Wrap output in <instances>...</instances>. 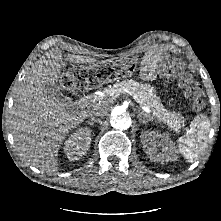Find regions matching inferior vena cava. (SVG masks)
Returning a JSON list of instances; mask_svg holds the SVG:
<instances>
[{
  "mask_svg": "<svg viewBox=\"0 0 221 221\" xmlns=\"http://www.w3.org/2000/svg\"><path fill=\"white\" fill-rule=\"evenodd\" d=\"M105 114V110L102 107L95 106L89 113V121L88 123L101 122L103 116Z\"/></svg>",
  "mask_w": 221,
  "mask_h": 221,
  "instance_id": "inferior-vena-cava-1",
  "label": "inferior vena cava"
}]
</instances>
